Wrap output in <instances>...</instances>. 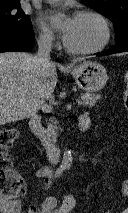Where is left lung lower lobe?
Masks as SVG:
<instances>
[{
    "label": "left lung lower lobe",
    "instance_id": "left-lung-lower-lobe-1",
    "mask_svg": "<svg viewBox=\"0 0 128 213\" xmlns=\"http://www.w3.org/2000/svg\"><path fill=\"white\" fill-rule=\"evenodd\" d=\"M128 51V38L123 39L122 41L115 43V46L108 49L107 51L97 53V56H105L109 54L121 53Z\"/></svg>",
    "mask_w": 128,
    "mask_h": 213
}]
</instances>
